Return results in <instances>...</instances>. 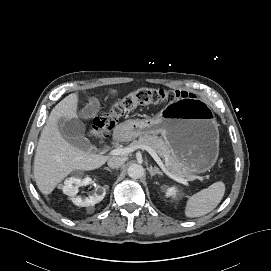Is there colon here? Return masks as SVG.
Masks as SVG:
<instances>
[{"instance_id": "5ec220e1", "label": "colon", "mask_w": 271, "mask_h": 271, "mask_svg": "<svg viewBox=\"0 0 271 271\" xmlns=\"http://www.w3.org/2000/svg\"><path fill=\"white\" fill-rule=\"evenodd\" d=\"M173 98H175L174 92L163 89L140 88L135 90L116 102L107 113L94 119L92 134L95 139L102 140L120 116L136 108L164 103Z\"/></svg>"}]
</instances>
